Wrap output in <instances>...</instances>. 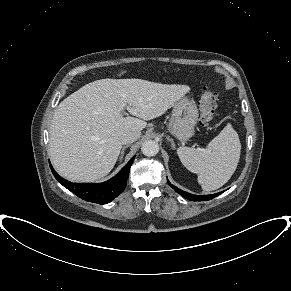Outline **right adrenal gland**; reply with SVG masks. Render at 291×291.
Segmentation results:
<instances>
[{"mask_svg":"<svg viewBox=\"0 0 291 291\" xmlns=\"http://www.w3.org/2000/svg\"><path fill=\"white\" fill-rule=\"evenodd\" d=\"M128 147H129V145H126V146H123V147H122L121 154H120V160L123 158V156H124V151H125V149L128 148Z\"/></svg>","mask_w":291,"mask_h":291,"instance_id":"2a0ac1e0","label":"right adrenal gland"}]
</instances>
